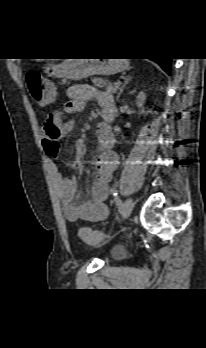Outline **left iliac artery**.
<instances>
[{"label":"left iliac artery","mask_w":206,"mask_h":348,"mask_svg":"<svg viewBox=\"0 0 206 348\" xmlns=\"http://www.w3.org/2000/svg\"><path fill=\"white\" fill-rule=\"evenodd\" d=\"M111 192L113 195H119V192L117 189H112Z\"/></svg>","instance_id":"1"}]
</instances>
